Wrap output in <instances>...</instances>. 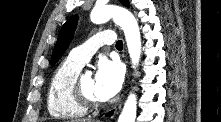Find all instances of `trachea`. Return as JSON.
Returning a JSON list of instances; mask_svg holds the SVG:
<instances>
[{"mask_svg":"<svg viewBox=\"0 0 221 122\" xmlns=\"http://www.w3.org/2000/svg\"><path fill=\"white\" fill-rule=\"evenodd\" d=\"M122 46H123L122 40H118V41L116 42V48H117V49H122Z\"/></svg>","mask_w":221,"mask_h":122,"instance_id":"3493384b","label":"trachea"}]
</instances>
